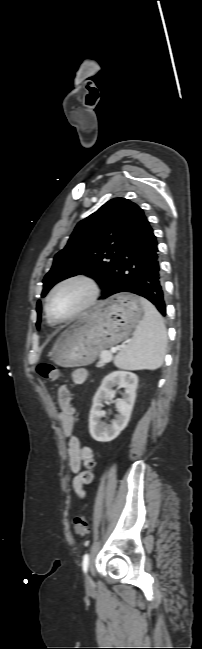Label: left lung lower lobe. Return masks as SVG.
Returning a JSON list of instances; mask_svg holds the SVG:
<instances>
[{
	"mask_svg": "<svg viewBox=\"0 0 202 649\" xmlns=\"http://www.w3.org/2000/svg\"><path fill=\"white\" fill-rule=\"evenodd\" d=\"M119 292L143 296L165 315L157 241L146 217L142 218L126 240L113 278L100 299Z\"/></svg>",
	"mask_w": 202,
	"mask_h": 649,
	"instance_id": "obj_1",
	"label": "left lung lower lobe"
}]
</instances>
